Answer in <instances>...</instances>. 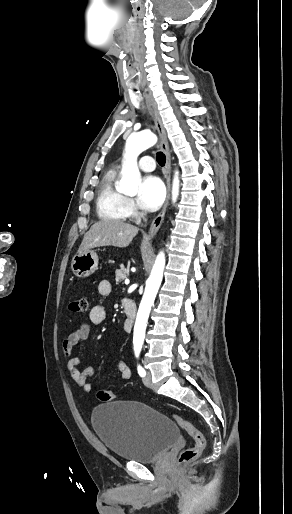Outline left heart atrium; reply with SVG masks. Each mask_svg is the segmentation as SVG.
I'll use <instances>...</instances> for the list:
<instances>
[{"label":"left heart atrium","instance_id":"left-heart-atrium-1","mask_svg":"<svg viewBox=\"0 0 292 514\" xmlns=\"http://www.w3.org/2000/svg\"><path fill=\"white\" fill-rule=\"evenodd\" d=\"M165 197V186L162 180L155 175L142 179L137 195L139 206L147 211H154L160 207Z\"/></svg>","mask_w":292,"mask_h":514}]
</instances>
